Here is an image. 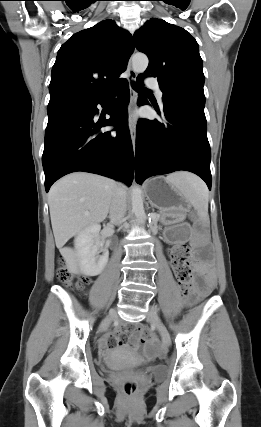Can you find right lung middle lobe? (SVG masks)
Listing matches in <instances>:
<instances>
[{"instance_id": "right-lung-middle-lobe-1", "label": "right lung middle lobe", "mask_w": 261, "mask_h": 427, "mask_svg": "<svg viewBox=\"0 0 261 427\" xmlns=\"http://www.w3.org/2000/svg\"><path fill=\"white\" fill-rule=\"evenodd\" d=\"M81 107H83V106H69V107H64V108L55 109V110H48V115L53 114V113H57V112H62L65 110L77 109V108H81Z\"/></svg>"}]
</instances>
